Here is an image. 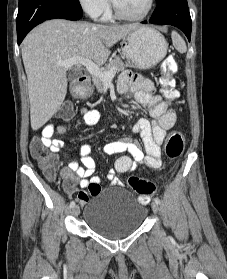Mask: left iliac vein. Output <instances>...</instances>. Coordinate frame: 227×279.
Returning a JSON list of instances; mask_svg holds the SVG:
<instances>
[{
  "label": "left iliac vein",
  "instance_id": "1",
  "mask_svg": "<svg viewBox=\"0 0 227 279\" xmlns=\"http://www.w3.org/2000/svg\"><path fill=\"white\" fill-rule=\"evenodd\" d=\"M151 206H152V209H153V211H154L155 213H158V212H159V204H158V203H156V202L154 201V202H152Z\"/></svg>",
  "mask_w": 227,
  "mask_h": 279
}]
</instances>
